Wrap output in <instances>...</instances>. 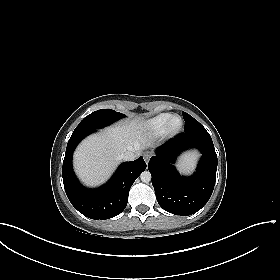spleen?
Wrapping results in <instances>:
<instances>
[{
	"mask_svg": "<svg viewBox=\"0 0 280 280\" xmlns=\"http://www.w3.org/2000/svg\"><path fill=\"white\" fill-rule=\"evenodd\" d=\"M193 167V158H185L180 164L179 168L183 170H190Z\"/></svg>",
	"mask_w": 280,
	"mask_h": 280,
	"instance_id": "obj_1",
	"label": "spleen"
}]
</instances>
